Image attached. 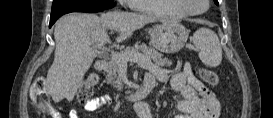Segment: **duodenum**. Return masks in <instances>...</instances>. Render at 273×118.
I'll use <instances>...</instances> for the list:
<instances>
[{
	"instance_id": "410a0bca",
	"label": "duodenum",
	"mask_w": 273,
	"mask_h": 118,
	"mask_svg": "<svg viewBox=\"0 0 273 118\" xmlns=\"http://www.w3.org/2000/svg\"><path fill=\"white\" fill-rule=\"evenodd\" d=\"M96 68L99 71H104L107 68V62L104 60H100L96 63ZM154 81L144 79L143 83L133 90L128 96L129 100H137L142 97H145L146 94L154 87Z\"/></svg>"
}]
</instances>
